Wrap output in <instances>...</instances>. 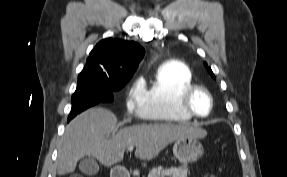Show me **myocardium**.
<instances>
[{
    "instance_id": "1",
    "label": "myocardium",
    "mask_w": 287,
    "mask_h": 177,
    "mask_svg": "<svg viewBox=\"0 0 287 177\" xmlns=\"http://www.w3.org/2000/svg\"><path fill=\"white\" fill-rule=\"evenodd\" d=\"M197 92H204L210 102V107H209V111L206 115L202 116L199 115L198 113L195 112V110L193 109L192 106V98L193 96L197 93ZM179 105L180 108L185 111L186 113H188L190 116L198 118V119H206L208 118L214 109V98L212 93L210 92L209 89H207L206 87L202 86V85H195L193 84L192 86L188 87L181 95L180 99H179Z\"/></svg>"
}]
</instances>
